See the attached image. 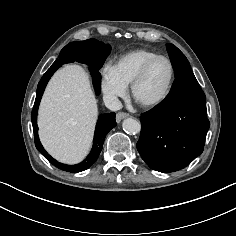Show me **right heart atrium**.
Returning a JSON list of instances; mask_svg holds the SVG:
<instances>
[{"label": "right heart atrium", "mask_w": 236, "mask_h": 236, "mask_svg": "<svg viewBox=\"0 0 236 236\" xmlns=\"http://www.w3.org/2000/svg\"><path fill=\"white\" fill-rule=\"evenodd\" d=\"M100 87L105 99L109 102L117 101L127 92V86L117 77L110 65L105 66L101 71Z\"/></svg>", "instance_id": "1"}]
</instances>
